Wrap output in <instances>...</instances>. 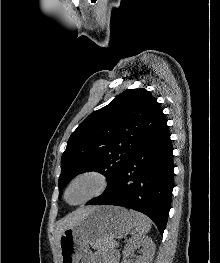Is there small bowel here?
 <instances>
[{
	"mask_svg": "<svg viewBox=\"0 0 220 263\" xmlns=\"http://www.w3.org/2000/svg\"><path fill=\"white\" fill-rule=\"evenodd\" d=\"M82 263H106L101 258L97 257L96 255L89 253L85 256Z\"/></svg>",
	"mask_w": 220,
	"mask_h": 263,
	"instance_id": "1",
	"label": "small bowel"
}]
</instances>
